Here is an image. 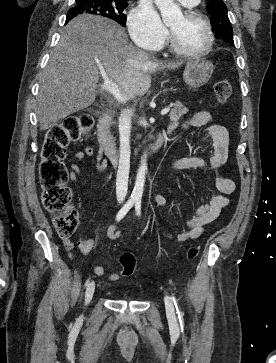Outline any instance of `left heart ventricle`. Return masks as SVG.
Instances as JSON below:
<instances>
[{
	"instance_id": "obj_1",
	"label": "left heart ventricle",
	"mask_w": 276,
	"mask_h": 363,
	"mask_svg": "<svg viewBox=\"0 0 276 363\" xmlns=\"http://www.w3.org/2000/svg\"><path fill=\"white\" fill-rule=\"evenodd\" d=\"M169 27L179 45L186 50L193 52L200 51L208 42L207 31L201 21L190 20L184 15H181Z\"/></svg>"
}]
</instances>
